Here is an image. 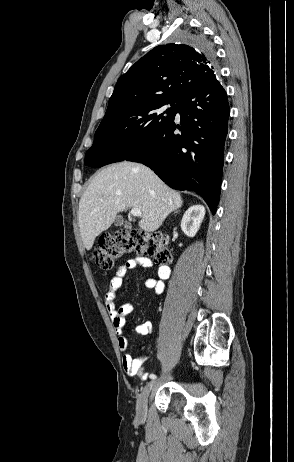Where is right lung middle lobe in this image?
Wrapping results in <instances>:
<instances>
[{
    "instance_id": "dd1d6c3e",
    "label": "right lung middle lobe",
    "mask_w": 294,
    "mask_h": 462,
    "mask_svg": "<svg viewBox=\"0 0 294 462\" xmlns=\"http://www.w3.org/2000/svg\"><path fill=\"white\" fill-rule=\"evenodd\" d=\"M176 38L199 49L213 51L209 40L200 32L182 29L176 34ZM181 99L180 96L152 98L104 116L85 159L102 154L105 165L123 161L174 119Z\"/></svg>"
}]
</instances>
